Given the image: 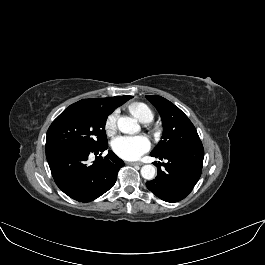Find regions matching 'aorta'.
Returning <instances> with one entry per match:
<instances>
[{
	"label": "aorta",
	"mask_w": 265,
	"mask_h": 265,
	"mask_svg": "<svg viewBox=\"0 0 265 265\" xmlns=\"http://www.w3.org/2000/svg\"><path fill=\"white\" fill-rule=\"evenodd\" d=\"M118 128L122 133L134 134L140 131L137 121L131 117L123 116L118 119ZM156 169L153 165H144L141 168V175L144 179L152 180L155 177Z\"/></svg>",
	"instance_id": "1"
}]
</instances>
